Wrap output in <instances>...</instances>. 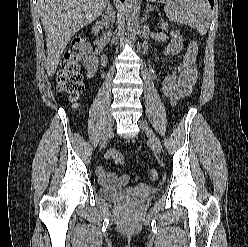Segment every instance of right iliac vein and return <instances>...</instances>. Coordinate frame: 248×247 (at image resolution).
<instances>
[{
	"label": "right iliac vein",
	"mask_w": 248,
	"mask_h": 247,
	"mask_svg": "<svg viewBox=\"0 0 248 247\" xmlns=\"http://www.w3.org/2000/svg\"><path fill=\"white\" fill-rule=\"evenodd\" d=\"M113 124H114V120L113 118L110 116L108 118L107 124H106V128L104 131V134L101 138L100 144H99V148L100 150H102L105 145L107 144V142L109 141V139L112 137L113 134Z\"/></svg>",
	"instance_id": "obj_1"
}]
</instances>
